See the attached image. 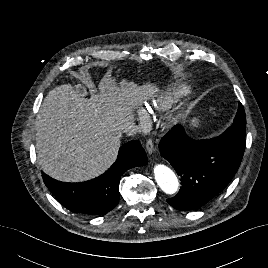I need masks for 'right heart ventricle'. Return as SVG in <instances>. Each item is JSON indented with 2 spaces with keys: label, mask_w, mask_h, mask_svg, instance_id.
<instances>
[{
  "label": "right heart ventricle",
  "mask_w": 268,
  "mask_h": 268,
  "mask_svg": "<svg viewBox=\"0 0 268 268\" xmlns=\"http://www.w3.org/2000/svg\"><path fill=\"white\" fill-rule=\"evenodd\" d=\"M184 88H181L176 93L163 94V95H155V97L150 102V108H154L156 110H165L172 106V104L176 101V97L178 94L182 93Z\"/></svg>",
  "instance_id": "obj_1"
}]
</instances>
